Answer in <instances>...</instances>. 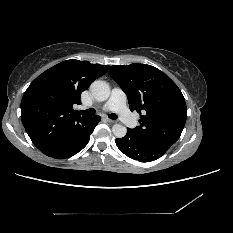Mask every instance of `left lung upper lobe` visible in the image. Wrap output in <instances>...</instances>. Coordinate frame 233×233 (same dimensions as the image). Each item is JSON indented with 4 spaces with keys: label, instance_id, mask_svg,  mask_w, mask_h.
<instances>
[{
    "label": "left lung upper lobe",
    "instance_id": "obj_1",
    "mask_svg": "<svg viewBox=\"0 0 233 233\" xmlns=\"http://www.w3.org/2000/svg\"><path fill=\"white\" fill-rule=\"evenodd\" d=\"M111 77L127 95L140 125L130 129L139 139L170 148L180 137L187 118L184 96L177 85L154 66L134 63L111 66Z\"/></svg>",
    "mask_w": 233,
    "mask_h": 233
}]
</instances>
